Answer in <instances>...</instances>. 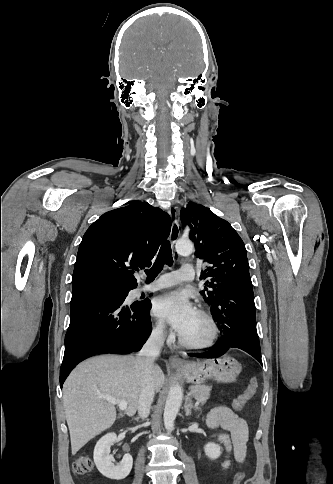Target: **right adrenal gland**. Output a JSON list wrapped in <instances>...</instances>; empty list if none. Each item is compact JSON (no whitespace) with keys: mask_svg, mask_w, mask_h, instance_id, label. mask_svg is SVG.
Returning a JSON list of instances; mask_svg holds the SVG:
<instances>
[{"mask_svg":"<svg viewBox=\"0 0 333 484\" xmlns=\"http://www.w3.org/2000/svg\"><path fill=\"white\" fill-rule=\"evenodd\" d=\"M135 420H136V421H138V420H139V418H138V417H136V418H135Z\"/></svg>","mask_w":333,"mask_h":484,"instance_id":"obj_1","label":"right adrenal gland"}]
</instances>
